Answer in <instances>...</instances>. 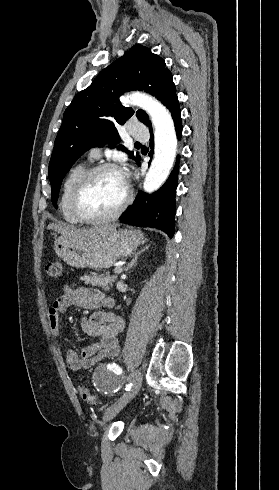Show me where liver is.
Wrapping results in <instances>:
<instances>
[{"label":"liver","mask_w":279,"mask_h":490,"mask_svg":"<svg viewBox=\"0 0 279 490\" xmlns=\"http://www.w3.org/2000/svg\"><path fill=\"white\" fill-rule=\"evenodd\" d=\"M47 230H55L64 238L69 240H90L95 234H106V232H112L116 230V226H99V228H88V230H77L74 226H67V224H49Z\"/></svg>","instance_id":"6515ba94"}]
</instances>
